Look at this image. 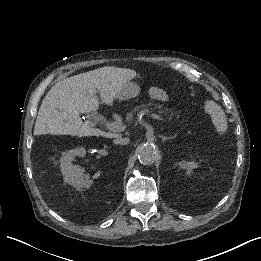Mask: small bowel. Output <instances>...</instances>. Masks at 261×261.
Returning a JSON list of instances; mask_svg holds the SVG:
<instances>
[{
    "label": "small bowel",
    "mask_w": 261,
    "mask_h": 261,
    "mask_svg": "<svg viewBox=\"0 0 261 261\" xmlns=\"http://www.w3.org/2000/svg\"><path fill=\"white\" fill-rule=\"evenodd\" d=\"M148 93L153 99L158 101H166L168 98L167 93L160 87H150Z\"/></svg>",
    "instance_id": "obj_1"
}]
</instances>
